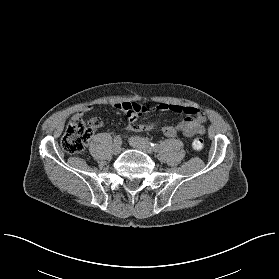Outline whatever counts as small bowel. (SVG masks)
<instances>
[{
	"label": "small bowel",
	"instance_id": "obj_1",
	"mask_svg": "<svg viewBox=\"0 0 279 279\" xmlns=\"http://www.w3.org/2000/svg\"><path fill=\"white\" fill-rule=\"evenodd\" d=\"M126 104L127 103H115L113 104V107L121 112H124L129 120V126L128 128L131 131L134 132H143L148 130L150 127L148 125L142 124V123H137L138 118L140 115L145 113L147 111V107L144 105H141L142 109L139 114H133L129 111L126 110ZM91 106H84L80 108L73 116L72 120H81L83 121V116L85 113L90 111ZM157 109L161 111H167L171 113H184L185 117L183 120L176 126L173 125H167L162 128V133L166 137H174L178 133H182L183 136L187 138H191L195 135H202L205 133V122H206V116L205 114L192 107H182L179 105H171V104H166L159 102L157 103ZM103 125V122L101 120L100 125L98 126L101 127Z\"/></svg>",
	"mask_w": 279,
	"mask_h": 279
}]
</instances>
